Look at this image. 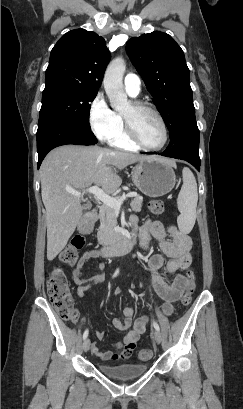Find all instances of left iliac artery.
Here are the masks:
<instances>
[{"label":"left iliac artery","instance_id":"1","mask_svg":"<svg viewBox=\"0 0 243 409\" xmlns=\"http://www.w3.org/2000/svg\"><path fill=\"white\" fill-rule=\"evenodd\" d=\"M153 326L157 331H160V327H159V325L157 324L156 321H153Z\"/></svg>","mask_w":243,"mask_h":409}]
</instances>
